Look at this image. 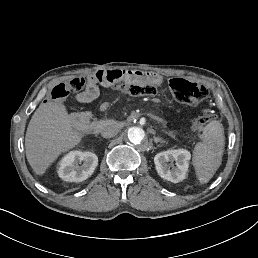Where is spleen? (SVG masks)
Masks as SVG:
<instances>
[{
  "instance_id": "1",
  "label": "spleen",
  "mask_w": 258,
  "mask_h": 258,
  "mask_svg": "<svg viewBox=\"0 0 258 258\" xmlns=\"http://www.w3.org/2000/svg\"><path fill=\"white\" fill-rule=\"evenodd\" d=\"M224 149V131L218 121L206 125L195 145L193 165L201 183H207L219 168Z\"/></svg>"
}]
</instances>
